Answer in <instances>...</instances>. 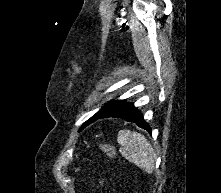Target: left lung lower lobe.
Masks as SVG:
<instances>
[{
    "mask_svg": "<svg viewBox=\"0 0 221 193\" xmlns=\"http://www.w3.org/2000/svg\"><path fill=\"white\" fill-rule=\"evenodd\" d=\"M106 117L122 118L128 122L137 124L139 127L151 133L150 126L144 120L143 115L134 107L133 103H126L124 100L112 102L96 120Z\"/></svg>",
    "mask_w": 221,
    "mask_h": 193,
    "instance_id": "1",
    "label": "left lung lower lobe"
}]
</instances>
